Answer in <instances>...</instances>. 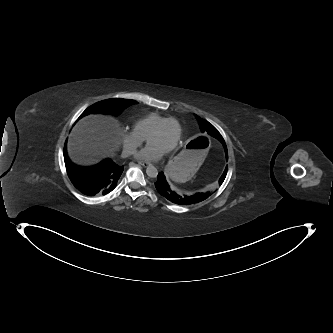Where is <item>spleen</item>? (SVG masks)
I'll list each match as a JSON object with an SVG mask.
<instances>
[{"mask_svg":"<svg viewBox=\"0 0 333 333\" xmlns=\"http://www.w3.org/2000/svg\"><path fill=\"white\" fill-rule=\"evenodd\" d=\"M168 170H169V171H173V167H172V166H169V167H168ZM173 177H174V174H173Z\"/></svg>","mask_w":333,"mask_h":333,"instance_id":"1","label":"spleen"}]
</instances>
